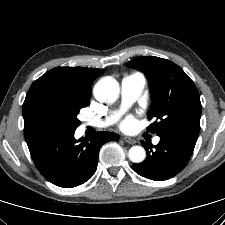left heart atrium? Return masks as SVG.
<instances>
[{
    "mask_svg": "<svg viewBox=\"0 0 225 225\" xmlns=\"http://www.w3.org/2000/svg\"><path fill=\"white\" fill-rule=\"evenodd\" d=\"M135 123V120L132 116H126L121 122V128L130 129Z\"/></svg>",
    "mask_w": 225,
    "mask_h": 225,
    "instance_id": "obj_1",
    "label": "left heart atrium"
}]
</instances>
